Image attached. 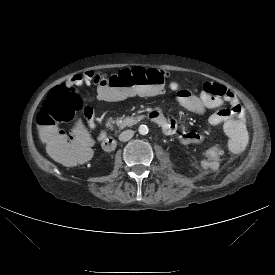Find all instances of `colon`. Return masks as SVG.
<instances>
[{"label": "colon", "mask_w": 275, "mask_h": 275, "mask_svg": "<svg viewBox=\"0 0 275 275\" xmlns=\"http://www.w3.org/2000/svg\"><path fill=\"white\" fill-rule=\"evenodd\" d=\"M167 74L154 68H135L106 77L97 74L94 80L100 85L98 94L101 99L113 102H123L134 97L158 96L165 89ZM78 112L86 116L92 113L88 107L84 108L78 90L73 85L62 84L51 90L42 111L38 114V121L43 126L49 155L54 159H61L72 152L76 143L73 130L70 136L58 128V124L71 122Z\"/></svg>", "instance_id": "colon-1"}]
</instances>
